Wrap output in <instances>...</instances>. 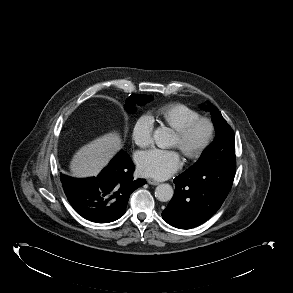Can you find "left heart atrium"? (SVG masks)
<instances>
[{
  "mask_svg": "<svg viewBox=\"0 0 293 293\" xmlns=\"http://www.w3.org/2000/svg\"><path fill=\"white\" fill-rule=\"evenodd\" d=\"M137 165L142 175L163 180L181 168L182 159L175 150L151 149L138 155Z\"/></svg>",
  "mask_w": 293,
  "mask_h": 293,
  "instance_id": "obj_1",
  "label": "left heart atrium"
}]
</instances>
